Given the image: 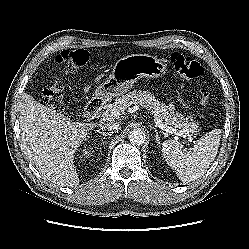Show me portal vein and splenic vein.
I'll list each match as a JSON object with an SVG mask.
<instances>
[{
	"instance_id": "obj_1",
	"label": "portal vein and splenic vein",
	"mask_w": 249,
	"mask_h": 249,
	"mask_svg": "<svg viewBox=\"0 0 249 249\" xmlns=\"http://www.w3.org/2000/svg\"><path fill=\"white\" fill-rule=\"evenodd\" d=\"M120 115L119 111L117 109H109L106 110L105 112H103L102 114V119L103 120H110V119H116L118 116ZM154 122L156 124L157 127H159L160 129L169 132L171 134L177 135V136H181L183 138H186L187 136L180 130H177L173 127L167 126L166 124H164L158 117L154 118Z\"/></svg>"
}]
</instances>
